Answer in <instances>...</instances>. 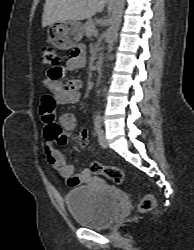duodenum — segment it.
<instances>
[{
	"label": "duodenum",
	"mask_w": 194,
	"mask_h": 250,
	"mask_svg": "<svg viewBox=\"0 0 194 250\" xmlns=\"http://www.w3.org/2000/svg\"><path fill=\"white\" fill-rule=\"evenodd\" d=\"M103 66V58L100 56L97 60L96 70L99 71Z\"/></svg>",
	"instance_id": "1"
}]
</instances>
